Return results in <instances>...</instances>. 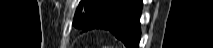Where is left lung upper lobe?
<instances>
[{"mask_svg": "<svg viewBox=\"0 0 213 48\" xmlns=\"http://www.w3.org/2000/svg\"><path fill=\"white\" fill-rule=\"evenodd\" d=\"M113 1L114 0H82L74 15L75 27L83 29L100 9L108 6Z\"/></svg>", "mask_w": 213, "mask_h": 48, "instance_id": "1", "label": "left lung upper lobe"}]
</instances>
